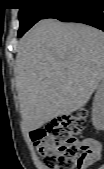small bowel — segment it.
Here are the masks:
<instances>
[{
    "label": "small bowel",
    "instance_id": "small-bowel-1",
    "mask_svg": "<svg viewBox=\"0 0 104 169\" xmlns=\"http://www.w3.org/2000/svg\"><path fill=\"white\" fill-rule=\"evenodd\" d=\"M90 140L96 145L98 152H99V155H100L101 150H102L101 143L99 141L95 140V139H90Z\"/></svg>",
    "mask_w": 104,
    "mask_h": 169
}]
</instances>
